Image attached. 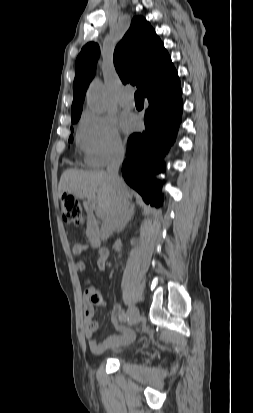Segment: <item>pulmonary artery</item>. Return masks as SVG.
<instances>
[{
  "label": "pulmonary artery",
  "mask_w": 253,
  "mask_h": 413,
  "mask_svg": "<svg viewBox=\"0 0 253 413\" xmlns=\"http://www.w3.org/2000/svg\"><path fill=\"white\" fill-rule=\"evenodd\" d=\"M119 104L124 108H132L135 106V100L132 92L129 89H124L119 95Z\"/></svg>",
  "instance_id": "1"
}]
</instances>
